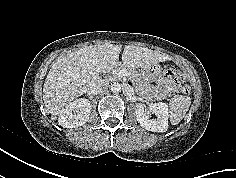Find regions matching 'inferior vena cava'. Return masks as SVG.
<instances>
[{"instance_id":"inferior-vena-cava-1","label":"inferior vena cava","mask_w":236,"mask_h":178,"mask_svg":"<svg viewBox=\"0 0 236 178\" xmlns=\"http://www.w3.org/2000/svg\"><path fill=\"white\" fill-rule=\"evenodd\" d=\"M109 83L106 80H101L100 82L95 83L90 91L92 94L103 93L107 90Z\"/></svg>"}]
</instances>
